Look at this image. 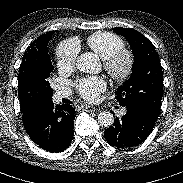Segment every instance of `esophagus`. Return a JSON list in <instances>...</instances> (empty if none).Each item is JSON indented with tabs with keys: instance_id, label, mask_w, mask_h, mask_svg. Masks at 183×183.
Segmentation results:
<instances>
[{
	"instance_id": "esophagus-1",
	"label": "esophagus",
	"mask_w": 183,
	"mask_h": 183,
	"mask_svg": "<svg viewBox=\"0 0 183 183\" xmlns=\"http://www.w3.org/2000/svg\"><path fill=\"white\" fill-rule=\"evenodd\" d=\"M82 108L88 109V110H90V111H97V110H98L97 108H95V107H93V106H87V105L82 106Z\"/></svg>"
}]
</instances>
